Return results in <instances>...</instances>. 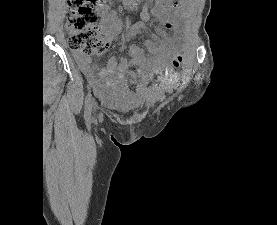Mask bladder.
<instances>
[{"instance_id":"bladder-1","label":"bladder","mask_w":277,"mask_h":225,"mask_svg":"<svg viewBox=\"0 0 277 225\" xmlns=\"http://www.w3.org/2000/svg\"><path fill=\"white\" fill-rule=\"evenodd\" d=\"M112 107L122 113H131L138 110L137 106L128 103L113 104Z\"/></svg>"}]
</instances>
